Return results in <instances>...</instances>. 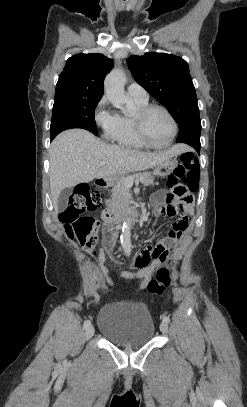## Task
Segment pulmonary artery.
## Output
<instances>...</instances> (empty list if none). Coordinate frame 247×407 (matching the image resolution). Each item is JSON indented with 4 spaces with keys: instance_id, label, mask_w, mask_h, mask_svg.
Returning a JSON list of instances; mask_svg holds the SVG:
<instances>
[{
    "instance_id": "pulmonary-artery-1",
    "label": "pulmonary artery",
    "mask_w": 247,
    "mask_h": 407,
    "mask_svg": "<svg viewBox=\"0 0 247 407\" xmlns=\"http://www.w3.org/2000/svg\"><path fill=\"white\" fill-rule=\"evenodd\" d=\"M127 92L132 99L148 101V93L138 83H131L127 88Z\"/></svg>"
}]
</instances>
